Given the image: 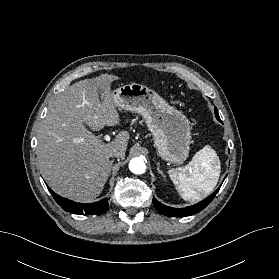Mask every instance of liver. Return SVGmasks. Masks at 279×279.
<instances>
[{"label":"liver","instance_id":"obj_1","mask_svg":"<svg viewBox=\"0 0 279 279\" xmlns=\"http://www.w3.org/2000/svg\"><path fill=\"white\" fill-rule=\"evenodd\" d=\"M117 79L102 74L81 80L66 88L49 106L38 130L36 153L41 173L55 193L90 202L101 194L108 179L109 153L120 149V157L125 158L127 131H121L108 143L92 133L120 123L111 91V83Z\"/></svg>","mask_w":279,"mask_h":279}]
</instances>
